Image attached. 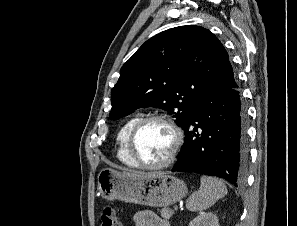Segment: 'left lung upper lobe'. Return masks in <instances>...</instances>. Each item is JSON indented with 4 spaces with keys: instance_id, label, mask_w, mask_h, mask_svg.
Here are the masks:
<instances>
[{
    "instance_id": "obj_1",
    "label": "left lung upper lobe",
    "mask_w": 297,
    "mask_h": 226,
    "mask_svg": "<svg viewBox=\"0 0 297 226\" xmlns=\"http://www.w3.org/2000/svg\"><path fill=\"white\" fill-rule=\"evenodd\" d=\"M236 86L228 53L213 33L176 27L147 40L122 66L110 118L152 106L173 114L183 127L206 92Z\"/></svg>"
}]
</instances>
